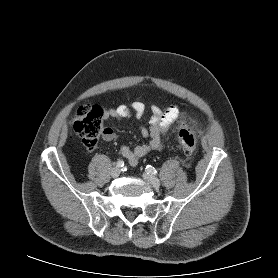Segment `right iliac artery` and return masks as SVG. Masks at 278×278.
Here are the masks:
<instances>
[{
    "label": "right iliac artery",
    "mask_w": 278,
    "mask_h": 278,
    "mask_svg": "<svg viewBox=\"0 0 278 278\" xmlns=\"http://www.w3.org/2000/svg\"><path fill=\"white\" fill-rule=\"evenodd\" d=\"M116 166L119 167V168H120V167H123V166H124V161L119 160V161L117 162Z\"/></svg>",
    "instance_id": "1"
}]
</instances>
